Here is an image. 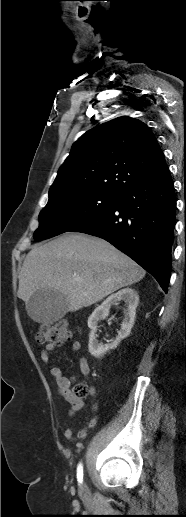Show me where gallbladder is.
Wrapping results in <instances>:
<instances>
[{"label":"gallbladder","mask_w":186,"mask_h":517,"mask_svg":"<svg viewBox=\"0 0 186 517\" xmlns=\"http://www.w3.org/2000/svg\"><path fill=\"white\" fill-rule=\"evenodd\" d=\"M28 315L36 322L53 323L68 311L66 296L53 289L35 292L26 304Z\"/></svg>","instance_id":"gallbladder-1"}]
</instances>
